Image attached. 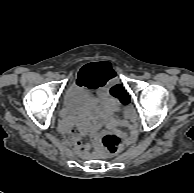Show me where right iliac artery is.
<instances>
[{"label":"right iliac artery","instance_id":"1","mask_svg":"<svg viewBox=\"0 0 194 193\" xmlns=\"http://www.w3.org/2000/svg\"><path fill=\"white\" fill-rule=\"evenodd\" d=\"M47 76L52 77L53 76V73L52 72H48L47 73Z\"/></svg>","mask_w":194,"mask_h":193}]
</instances>
